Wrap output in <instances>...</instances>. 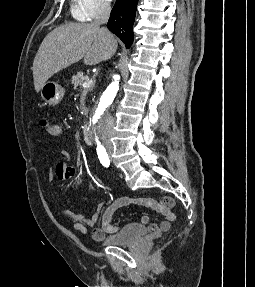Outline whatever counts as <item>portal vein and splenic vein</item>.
I'll list each match as a JSON object with an SVG mask.
<instances>
[{
  "label": "portal vein and splenic vein",
  "instance_id": "obj_1",
  "mask_svg": "<svg viewBox=\"0 0 255 287\" xmlns=\"http://www.w3.org/2000/svg\"><path fill=\"white\" fill-rule=\"evenodd\" d=\"M90 84H92V80H90V82H84L83 88H90Z\"/></svg>",
  "mask_w": 255,
  "mask_h": 287
}]
</instances>
